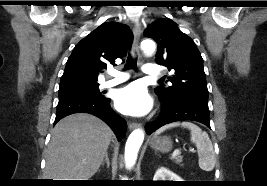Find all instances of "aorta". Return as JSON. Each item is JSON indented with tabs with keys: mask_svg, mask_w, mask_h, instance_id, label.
<instances>
[{
	"mask_svg": "<svg viewBox=\"0 0 267 186\" xmlns=\"http://www.w3.org/2000/svg\"><path fill=\"white\" fill-rule=\"evenodd\" d=\"M141 49L146 55H151L156 50L155 42L151 39L143 40ZM143 140L144 132L141 129H136L129 135L125 145V163L127 167H132L135 164Z\"/></svg>",
	"mask_w": 267,
	"mask_h": 186,
	"instance_id": "762f6f07",
	"label": "aorta"
}]
</instances>
